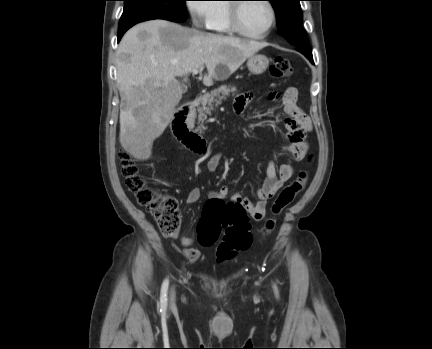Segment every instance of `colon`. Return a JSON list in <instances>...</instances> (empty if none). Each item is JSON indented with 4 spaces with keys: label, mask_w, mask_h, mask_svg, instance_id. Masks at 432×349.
Listing matches in <instances>:
<instances>
[{
    "label": "colon",
    "mask_w": 432,
    "mask_h": 349,
    "mask_svg": "<svg viewBox=\"0 0 432 349\" xmlns=\"http://www.w3.org/2000/svg\"><path fill=\"white\" fill-rule=\"evenodd\" d=\"M270 73L276 78H288L292 74L291 64L283 57H276L270 66ZM119 158L127 188L136 195L138 203L154 216L164 235H175L181 221L178 200L149 187L139 167L126 151H120ZM307 180V172L301 171L298 177L280 192L272 207L274 215L279 214L294 200L304 189ZM249 220L247 210L241 203L209 200L198 223V241L200 245L208 247L213 245L222 233L217 247V259L221 262L233 259L238 252L248 249L252 243ZM274 226L275 220L268 219L263 233L269 234Z\"/></svg>",
    "instance_id": "obj_1"
}]
</instances>
